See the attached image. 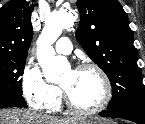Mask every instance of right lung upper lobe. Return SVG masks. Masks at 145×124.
I'll use <instances>...</instances> for the list:
<instances>
[{"label":"right lung upper lobe","mask_w":145,"mask_h":124,"mask_svg":"<svg viewBox=\"0 0 145 124\" xmlns=\"http://www.w3.org/2000/svg\"><path fill=\"white\" fill-rule=\"evenodd\" d=\"M32 37L31 8L26 0H10L0 8V57L27 58Z\"/></svg>","instance_id":"obj_1"}]
</instances>
